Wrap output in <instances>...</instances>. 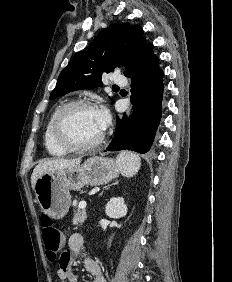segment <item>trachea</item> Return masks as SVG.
Returning <instances> with one entry per match:
<instances>
[{"mask_svg":"<svg viewBox=\"0 0 232 282\" xmlns=\"http://www.w3.org/2000/svg\"><path fill=\"white\" fill-rule=\"evenodd\" d=\"M114 88H118V86H114Z\"/></svg>","mask_w":232,"mask_h":282,"instance_id":"trachea-1","label":"trachea"}]
</instances>
